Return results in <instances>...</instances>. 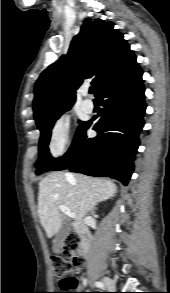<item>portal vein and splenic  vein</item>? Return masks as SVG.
I'll use <instances>...</instances> for the list:
<instances>
[{"instance_id":"obj_1","label":"portal vein and splenic vein","mask_w":170,"mask_h":293,"mask_svg":"<svg viewBox=\"0 0 170 293\" xmlns=\"http://www.w3.org/2000/svg\"><path fill=\"white\" fill-rule=\"evenodd\" d=\"M59 209L62 213H64L66 216L74 218L75 214L71 212V210L69 208H67L66 206L60 205Z\"/></svg>"}]
</instances>
